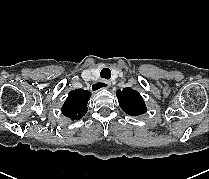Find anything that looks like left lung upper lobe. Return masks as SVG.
Masks as SVG:
<instances>
[{
  "instance_id": "obj_1",
  "label": "left lung upper lobe",
  "mask_w": 209,
  "mask_h": 179,
  "mask_svg": "<svg viewBox=\"0 0 209 179\" xmlns=\"http://www.w3.org/2000/svg\"><path fill=\"white\" fill-rule=\"evenodd\" d=\"M116 96L121 109L128 115L139 116L147 111L145 102L140 93L131 88L118 90Z\"/></svg>"
}]
</instances>
